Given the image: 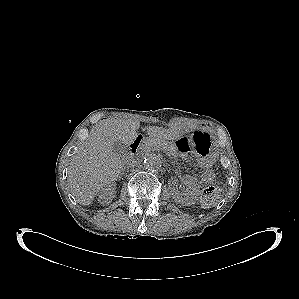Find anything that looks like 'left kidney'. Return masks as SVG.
Returning a JSON list of instances; mask_svg holds the SVG:
<instances>
[{
  "instance_id": "5707ae66",
  "label": "left kidney",
  "mask_w": 299,
  "mask_h": 299,
  "mask_svg": "<svg viewBox=\"0 0 299 299\" xmlns=\"http://www.w3.org/2000/svg\"><path fill=\"white\" fill-rule=\"evenodd\" d=\"M182 181L187 186V191L185 193H180L177 189V181L174 178L169 179L168 186L171 192L173 199L180 204L185 206H190L195 204L198 200V196L200 193V188L196 183V180L190 176H183Z\"/></svg>"
}]
</instances>
